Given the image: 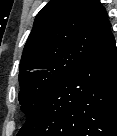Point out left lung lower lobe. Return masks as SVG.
Returning a JSON list of instances; mask_svg holds the SVG:
<instances>
[{"mask_svg": "<svg viewBox=\"0 0 117 136\" xmlns=\"http://www.w3.org/2000/svg\"><path fill=\"white\" fill-rule=\"evenodd\" d=\"M17 136H117L112 33L43 98Z\"/></svg>", "mask_w": 117, "mask_h": 136, "instance_id": "left-lung-lower-lobe-1", "label": "left lung lower lobe"}]
</instances>
